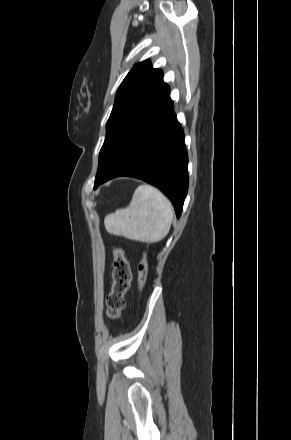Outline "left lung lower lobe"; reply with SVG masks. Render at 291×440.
Instances as JSON below:
<instances>
[{
    "label": "left lung lower lobe",
    "mask_w": 291,
    "mask_h": 440,
    "mask_svg": "<svg viewBox=\"0 0 291 440\" xmlns=\"http://www.w3.org/2000/svg\"><path fill=\"white\" fill-rule=\"evenodd\" d=\"M184 133L166 89L123 131L98 169L94 189L118 177L142 179L162 190L177 217L188 190Z\"/></svg>",
    "instance_id": "0a47b994"
}]
</instances>
